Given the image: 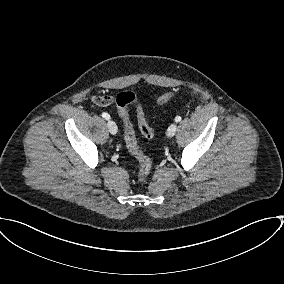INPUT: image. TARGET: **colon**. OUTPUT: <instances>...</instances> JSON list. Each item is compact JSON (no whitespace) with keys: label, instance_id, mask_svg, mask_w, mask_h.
Returning <instances> with one entry per match:
<instances>
[{"label":"colon","instance_id":"5ec220e1","mask_svg":"<svg viewBox=\"0 0 284 284\" xmlns=\"http://www.w3.org/2000/svg\"><path fill=\"white\" fill-rule=\"evenodd\" d=\"M175 96L174 92H167L161 95L158 99L159 105L166 104L171 98ZM136 104V112L138 118V125L141 133L148 139L155 136V131L147 122L145 112L141 104L138 102L137 95L133 91H124L117 96L118 112L121 117L124 127V139L128 151L139 163L138 178L140 180L145 179L152 168L151 159L142 151L138 145L132 123L129 117L128 106Z\"/></svg>","mask_w":284,"mask_h":284}]
</instances>
